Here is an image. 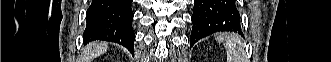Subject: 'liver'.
Wrapping results in <instances>:
<instances>
[{"label": "liver", "instance_id": "1", "mask_svg": "<svg viewBox=\"0 0 331 62\" xmlns=\"http://www.w3.org/2000/svg\"><path fill=\"white\" fill-rule=\"evenodd\" d=\"M108 46L104 42H92L85 48V62H91L94 58L107 50Z\"/></svg>", "mask_w": 331, "mask_h": 62}]
</instances>
